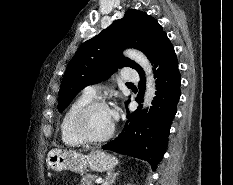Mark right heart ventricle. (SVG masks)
<instances>
[{
    "instance_id": "obj_1",
    "label": "right heart ventricle",
    "mask_w": 233,
    "mask_h": 185,
    "mask_svg": "<svg viewBox=\"0 0 233 185\" xmlns=\"http://www.w3.org/2000/svg\"><path fill=\"white\" fill-rule=\"evenodd\" d=\"M90 100V98L83 95L74 100L65 111L60 124L61 139L65 145L78 147L84 144L74 132L73 121L78 111Z\"/></svg>"
}]
</instances>
